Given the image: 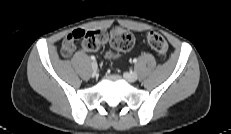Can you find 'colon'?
Returning <instances> with one entry per match:
<instances>
[{"label": "colon", "mask_w": 231, "mask_h": 134, "mask_svg": "<svg viewBox=\"0 0 231 134\" xmlns=\"http://www.w3.org/2000/svg\"><path fill=\"white\" fill-rule=\"evenodd\" d=\"M73 37L82 39L83 45L88 50L97 51L103 47L108 41L113 50L109 53L110 57H116L119 53L128 51L133 47L134 37L126 29L122 27L113 28L109 35L102 30H82L73 31ZM147 41L150 47L161 57L166 58L168 44L165 38L157 32H149Z\"/></svg>", "instance_id": "obj_1"}]
</instances>
